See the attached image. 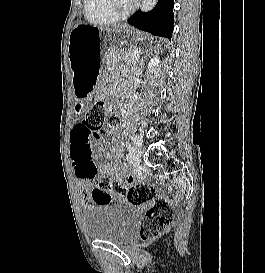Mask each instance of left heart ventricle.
Instances as JSON below:
<instances>
[{"instance_id":"obj_1","label":"left heart ventricle","mask_w":265,"mask_h":273,"mask_svg":"<svg viewBox=\"0 0 265 273\" xmlns=\"http://www.w3.org/2000/svg\"><path fill=\"white\" fill-rule=\"evenodd\" d=\"M117 1V5L120 9H125L126 7H128L131 3L130 0H116Z\"/></svg>"}]
</instances>
